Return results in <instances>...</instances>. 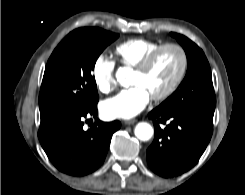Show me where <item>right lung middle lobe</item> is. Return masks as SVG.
I'll list each match as a JSON object with an SVG mask.
<instances>
[{
  "label": "right lung middle lobe",
  "mask_w": 245,
  "mask_h": 195,
  "mask_svg": "<svg viewBox=\"0 0 245 195\" xmlns=\"http://www.w3.org/2000/svg\"><path fill=\"white\" fill-rule=\"evenodd\" d=\"M119 37L95 27L69 33L50 56L40 89L41 118L87 110L99 100L92 75L97 58Z\"/></svg>",
  "instance_id": "dd1d6c3e"
}]
</instances>
